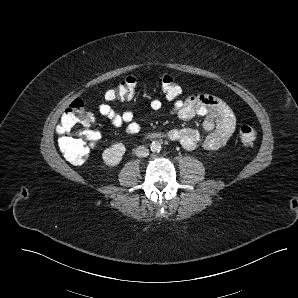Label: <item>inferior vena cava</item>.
<instances>
[{
    "label": "inferior vena cava",
    "instance_id": "inferior-vena-cava-1",
    "mask_svg": "<svg viewBox=\"0 0 298 298\" xmlns=\"http://www.w3.org/2000/svg\"><path fill=\"white\" fill-rule=\"evenodd\" d=\"M135 154L137 157L144 158L149 155V150L144 146H138L135 150Z\"/></svg>",
    "mask_w": 298,
    "mask_h": 298
}]
</instances>
